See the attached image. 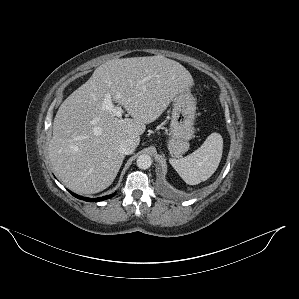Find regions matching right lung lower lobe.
I'll list each match as a JSON object with an SVG mask.
<instances>
[{"label": "right lung lower lobe", "mask_w": 299, "mask_h": 299, "mask_svg": "<svg viewBox=\"0 0 299 299\" xmlns=\"http://www.w3.org/2000/svg\"><path fill=\"white\" fill-rule=\"evenodd\" d=\"M73 196H75L76 198L78 199H82V200H85V201H89V202H97V201H102V200H105V199H108V198H111L115 195L114 194H111V195H108V196H104V197H100V198H95V199H92V198H87V197H82L80 195H77V194H74L73 192L69 191Z\"/></svg>", "instance_id": "right-lung-lower-lobe-1"}]
</instances>
